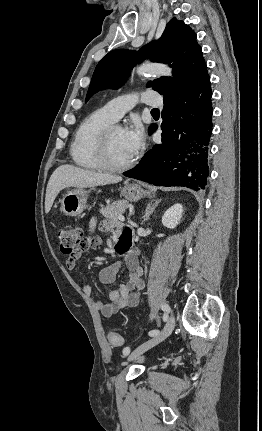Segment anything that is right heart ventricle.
Returning <instances> with one entry per match:
<instances>
[{"label":"right heart ventricle","mask_w":262,"mask_h":431,"mask_svg":"<svg viewBox=\"0 0 262 431\" xmlns=\"http://www.w3.org/2000/svg\"><path fill=\"white\" fill-rule=\"evenodd\" d=\"M114 120L104 108L89 114L78 126L70 147V154L74 163L86 170H101L98 158L99 138L102 131Z\"/></svg>","instance_id":"1"}]
</instances>
